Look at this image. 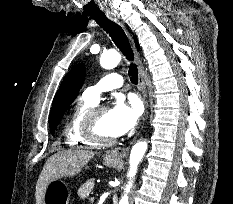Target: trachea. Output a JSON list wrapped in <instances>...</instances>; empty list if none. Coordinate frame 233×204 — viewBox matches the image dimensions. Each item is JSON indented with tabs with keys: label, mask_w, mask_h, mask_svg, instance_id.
I'll use <instances>...</instances> for the list:
<instances>
[{
	"label": "trachea",
	"mask_w": 233,
	"mask_h": 204,
	"mask_svg": "<svg viewBox=\"0 0 233 204\" xmlns=\"http://www.w3.org/2000/svg\"><path fill=\"white\" fill-rule=\"evenodd\" d=\"M89 16L93 18L101 28H103L112 38L115 45L120 49L122 54L128 61H131L129 66L128 75L133 84L138 82V69L135 64L132 63L134 59L133 50L129 43L126 33L116 23L109 20L103 12L89 13Z\"/></svg>",
	"instance_id": "3493384b"
}]
</instances>
